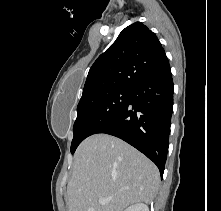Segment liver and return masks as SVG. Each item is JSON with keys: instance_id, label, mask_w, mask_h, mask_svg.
<instances>
[{"instance_id": "1", "label": "liver", "mask_w": 221, "mask_h": 211, "mask_svg": "<svg viewBox=\"0 0 221 211\" xmlns=\"http://www.w3.org/2000/svg\"><path fill=\"white\" fill-rule=\"evenodd\" d=\"M160 174L135 148L108 134L86 138L77 148L67 186L68 211H123L156 196ZM112 200L99 204V198Z\"/></svg>"}]
</instances>
